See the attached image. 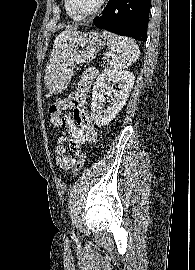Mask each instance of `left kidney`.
<instances>
[{
	"label": "left kidney",
	"mask_w": 195,
	"mask_h": 270,
	"mask_svg": "<svg viewBox=\"0 0 195 270\" xmlns=\"http://www.w3.org/2000/svg\"><path fill=\"white\" fill-rule=\"evenodd\" d=\"M135 77L132 72L104 69L98 76L92 91L91 117L98 126L110 123L125 105L133 88ZM110 83L118 84L119 90ZM105 95L111 98V106L103 110Z\"/></svg>",
	"instance_id": "5707ae66"
}]
</instances>
